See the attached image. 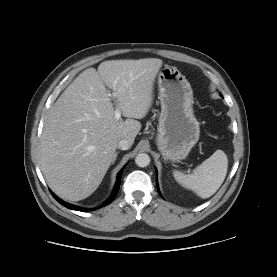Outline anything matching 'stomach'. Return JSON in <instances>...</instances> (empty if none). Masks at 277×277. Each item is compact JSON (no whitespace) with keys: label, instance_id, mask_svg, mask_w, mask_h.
Masks as SVG:
<instances>
[{"label":"stomach","instance_id":"stomach-1","mask_svg":"<svg viewBox=\"0 0 277 277\" xmlns=\"http://www.w3.org/2000/svg\"><path fill=\"white\" fill-rule=\"evenodd\" d=\"M161 113L156 144L164 159H185L200 135L193 111L190 83L176 67L166 65L158 75Z\"/></svg>","mask_w":277,"mask_h":277}]
</instances>
